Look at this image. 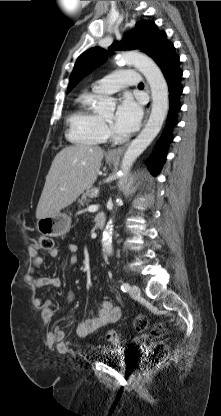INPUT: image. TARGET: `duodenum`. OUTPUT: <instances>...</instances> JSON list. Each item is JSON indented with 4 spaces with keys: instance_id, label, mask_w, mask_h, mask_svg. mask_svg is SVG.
I'll use <instances>...</instances> for the list:
<instances>
[{
    "instance_id": "1",
    "label": "duodenum",
    "mask_w": 221,
    "mask_h": 416,
    "mask_svg": "<svg viewBox=\"0 0 221 416\" xmlns=\"http://www.w3.org/2000/svg\"><path fill=\"white\" fill-rule=\"evenodd\" d=\"M106 217L104 215H100L96 217L95 225L98 229H102L105 226Z\"/></svg>"
}]
</instances>
